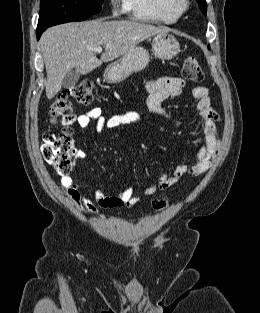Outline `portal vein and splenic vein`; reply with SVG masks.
I'll return each instance as SVG.
<instances>
[{
  "mask_svg": "<svg viewBox=\"0 0 260 313\" xmlns=\"http://www.w3.org/2000/svg\"><path fill=\"white\" fill-rule=\"evenodd\" d=\"M93 51L96 53H100V52H102V47L98 46V47L94 48Z\"/></svg>",
  "mask_w": 260,
  "mask_h": 313,
  "instance_id": "obj_1",
  "label": "portal vein and splenic vein"
}]
</instances>
